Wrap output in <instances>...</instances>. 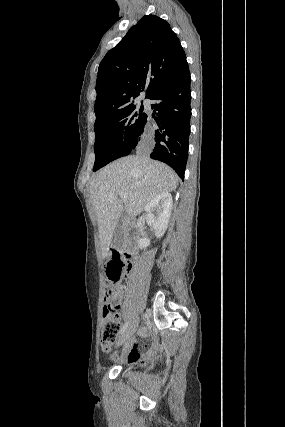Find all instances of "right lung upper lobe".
<instances>
[{
  "label": "right lung upper lobe",
  "mask_w": 285,
  "mask_h": 427,
  "mask_svg": "<svg viewBox=\"0 0 285 427\" xmlns=\"http://www.w3.org/2000/svg\"><path fill=\"white\" fill-rule=\"evenodd\" d=\"M188 71L185 52L170 25L155 15H145L99 65L95 125L134 105L145 86L150 99Z\"/></svg>",
  "instance_id": "cb5924a9"
}]
</instances>
